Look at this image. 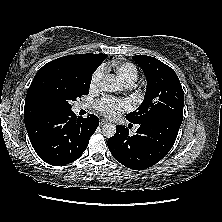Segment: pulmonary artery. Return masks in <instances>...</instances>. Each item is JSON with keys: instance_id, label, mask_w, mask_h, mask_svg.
Returning <instances> with one entry per match:
<instances>
[{"instance_id": "1", "label": "pulmonary artery", "mask_w": 222, "mask_h": 222, "mask_svg": "<svg viewBox=\"0 0 222 222\" xmlns=\"http://www.w3.org/2000/svg\"><path fill=\"white\" fill-rule=\"evenodd\" d=\"M125 87H130V85H126ZM86 107V105H80V107L79 108H85Z\"/></svg>"}]
</instances>
